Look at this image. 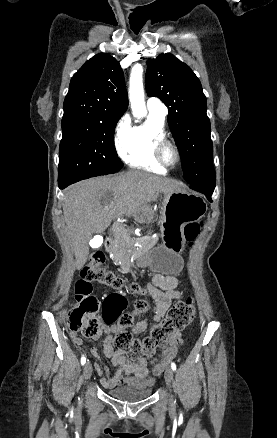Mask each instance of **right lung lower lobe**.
<instances>
[{
	"label": "right lung lower lobe",
	"instance_id": "obj_1",
	"mask_svg": "<svg viewBox=\"0 0 277 438\" xmlns=\"http://www.w3.org/2000/svg\"><path fill=\"white\" fill-rule=\"evenodd\" d=\"M58 185H59L60 189H64L65 187H67L70 184L69 183H58Z\"/></svg>",
	"mask_w": 277,
	"mask_h": 438
}]
</instances>
